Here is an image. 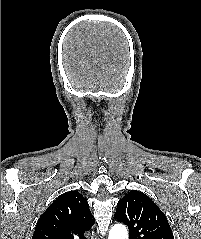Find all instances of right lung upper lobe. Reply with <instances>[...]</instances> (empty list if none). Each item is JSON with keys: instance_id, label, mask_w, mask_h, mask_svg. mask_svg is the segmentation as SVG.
<instances>
[{"instance_id": "cb5924a9", "label": "right lung upper lobe", "mask_w": 201, "mask_h": 239, "mask_svg": "<svg viewBox=\"0 0 201 239\" xmlns=\"http://www.w3.org/2000/svg\"><path fill=\"white\" fill-rule=\"evenodd\" d=\"M95 220L78 191L59 196L40 216L32 239H86Z\"/></svg>"}]
</instances>
